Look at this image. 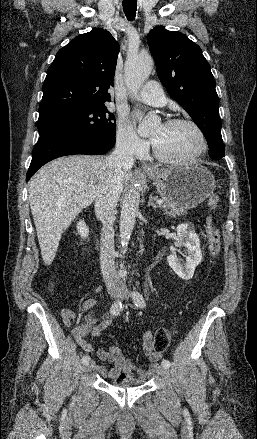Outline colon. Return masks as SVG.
Listing matches in <instances>:
<instances>
[{"label": "colon", "instance_id": "colon-1", "mask_svg": "<svg viewBox=\"0 0 257 439\" xmlns=\"http://www.w3.org/2000/svg\"><path fill=\"white\" fill-rule=\"evenodd\" d=\"M219 202V197L216 194L209 196L207 204L211 210H214ZM207 233L209 242V251L211 255L216 258L220 254L221 244H220V234L219 230L214 224L212 215L207 218ZM170 343V333L165 329H158L155 332L153 338V347L156 352H163L167 349ZM115 383L118 386H122L125 383V378L119 376L116 378Z\"/></svg>", "mask_w": 257, "mask_h": 439}]
</instances>
